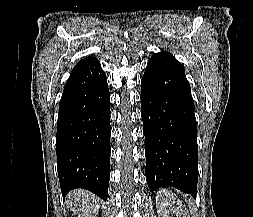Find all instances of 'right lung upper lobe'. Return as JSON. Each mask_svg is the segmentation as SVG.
I'll return each instance as SVG.
<instances>
[{
    "label": "right lung upper lobe",
    "mask_w": 253,
    "mask_h": 217,
    "mask_svg": "<svg viewBox=\"0 0 253 217\" xmlns=\"http://www.w3.org/2000/svg\"><path fill=\"white\" fill-rule=\"evenodd\" d=\"M94 60H96V58H94V57H87V58L79 61L75 67L81 66V65L89 63V62H92Z\"/></svg>",
    "instance_id": "right-lung-upper-lobe-1"
}]
</instances>
